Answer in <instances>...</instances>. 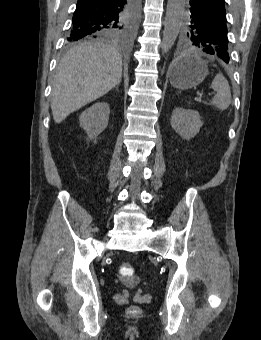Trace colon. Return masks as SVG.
<instances>
[{
  "label": "colon",
  "mask_w": 261,
  "mask_h": 340,
  "mask_svg": "<svg viewBox=\"0 0 261 340\" xmlns=\"http://www.w3.org/2000/svg\"><path fill=\"white\" fill-rule=\"evenodd\" d=\"M118 274L121 279L129 281L134 275V268L128 262L121 263L118 267ZM127 312L129 314H139L141 310L138 306L133 305L127 309Z\"/></svg>",
  "instance_id": "obj_1"
}]
</instances>
